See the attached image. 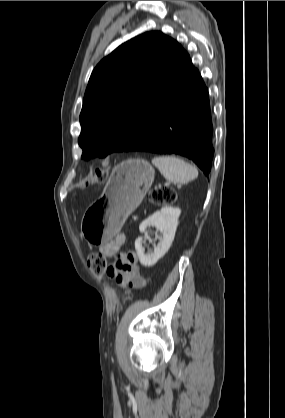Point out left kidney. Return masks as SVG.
Returning a JSON list of instances; mask_svg holds the SVG:
<instances>
[{
  "mask_svg": "<svg viewBox=\"0 0 285 418\" xmlns=\"http://www.w3.org/2000/svg\"><path fill=\"white\" fill-rule=\"evenodd\" d=\"M180 214L181 210L179 208L166 206L153 213L140 224L139 230L141 233H145L148 227H156L162 234V237H159V243L154 246V251L150 254L144 252L142 237L135 240V249L143 266H153L169 250L174 240Z\"/></svg>",
  "mask_w": 285,
  "mask_h": 418,
  "instance_id": "left-kidney-1",
  "label": "left kidney"
}]
</instances>
